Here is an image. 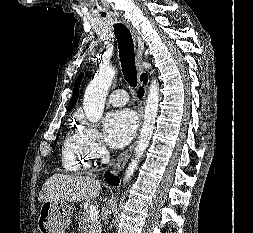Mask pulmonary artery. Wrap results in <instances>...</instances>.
<instances>
[{"label": "pulmonary artery", "mask_w": 253, "mask_h": 233, "mask_svg": "<svg viewBox=\"0 0 253 233\" xmlns=\"http://www.w3.org/2000/svg\"><path fill=\"white\" fill-rule=\"evenodd\" d=\"M129 100L128 94L125 90H115L108 96V101L112 106L121 107L127 104Z\"/></svg>", "instance_id": "obj_1"}]
</instances>
